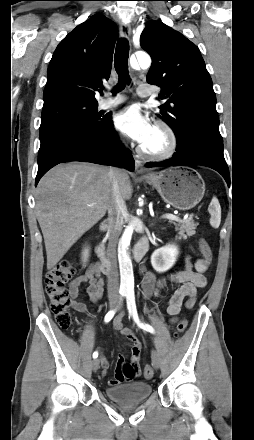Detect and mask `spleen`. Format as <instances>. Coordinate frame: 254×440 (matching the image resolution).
<instances>
[{"mask_svg":"<svg viewBox=\"0 0 254 440\" xmlns=\"http://www.w3.org/2000/svg\"><path fill=\"white\" fill-rule=\"evenodd\" d=\"M209 213L211 214L210 224L213 228H218L221 222V207L216 197H213L209 205Z\"/></svg>","mask_w":254,"mask_h":440,"instance_id":"spleen-1","label":"spleen"}]
</instances>
